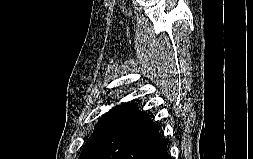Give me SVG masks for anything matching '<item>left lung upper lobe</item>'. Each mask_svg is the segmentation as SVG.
I'll return each instance as SVG.
<instances>
[{"mask_svg": "<svg viewBox=\"0 0 253 159\" xmlns=\"http://www.w3.org/2000/svg\"><path fill=\"white\" fill-rule=\"evenodd\" d=\"M126 106H128L127 103L124 105H120L117 107L112 108L108 113L103 115L97 125L95 126V131L91 135V137L87 140L86 144L84 145V148L82 150V153L80 154L79 159H84L86 153L88 152L89 148L92 146V144L95 142V140L99 137L102 130L105 128V126L117 115L119 114Z\"/></svg>", "mask_w": 253, "mask_h": 159, "instance_id": "1", "label": "left lung upper lobe"}]
</instances>
